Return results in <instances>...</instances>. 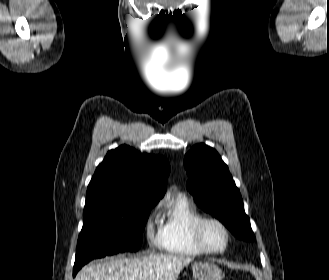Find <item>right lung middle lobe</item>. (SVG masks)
Returning a JSON list of instances; mask_svg holds the SVG:
<instances>
[{"label": "right lung middle lobe", "mask_w": 329, "mask_h": 280, "mask_svg": "<svg viewBox=\"0 0 329 280\" xmlns=\"http://www.w3.org/2000/svg\"><path fill=\"white\" fill-rule=\"evenodd\" d=\"M159 199H115L89 208L77 244L73 276L95 258L137 251L151 208Z\"/></svg>", "instance_id": "dd1d6c3e"}]
</instances>
